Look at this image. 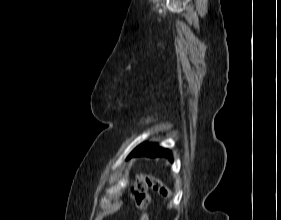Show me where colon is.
<instances>
[{
  "instance_id": "colon-1",
  "label": "colon",
  "mask_w": 281,
  "mask_h": 220,
  "mask_svg": "<svg viewBox=\"0 0 281 220\" xmlns=\"http://www.w3.org/2000/svg\"><path fill=\"white\" fill-rule=\"evenodd\" d=\"M152 187L161 196L168 197L170 195L168 189L153 177L140 174L130 186V194L135 201L136 208L140 211V220H149L147 207L149 205L148 188Z\"/></svg>"
}]
</instances>
